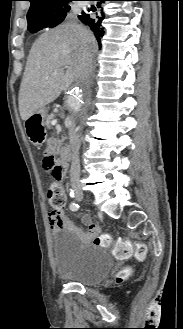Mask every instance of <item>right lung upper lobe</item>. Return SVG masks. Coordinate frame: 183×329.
<instances>
[{
  "mask_svg": "<svg viewBox=\"0 0 183 329\" xmlns=\"http://www.w3.org/2000/svg\"><path fill=\"white\" fill-rule=\"evenodd\" d=\"M31 5L27 14L28 24L47 22L58 13V9L72 0H28Z\"/></svg>",
  "mask_w": 183,
  "mask_h": 329,
  "instance_id": "cb5924a9",
  "label": "right lung upper lobe"
}]
</instances>
